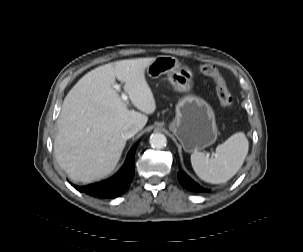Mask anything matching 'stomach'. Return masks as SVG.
Masks as SVG:
<instances>
[{"label":"stomach","instance_id":"obj_1","mask_svg":"<svg viewBox=\"0 0 303 252\" xmlns=\"http://www.w3.org/2000/svg\"><path fill=\"white\" fill-rule=\"evenodd\" d=\"M149 77L157 78L167 74L174 89L188 92L192 86L193 72L181 66L173 56H158L147 67ZM169 129L177 137L186 152L202 150L217 139V126L212 107L202 98L186 95L176 105V117Z\"/></svg>","mask_w":303,"mask_h":252}]
</instances>
